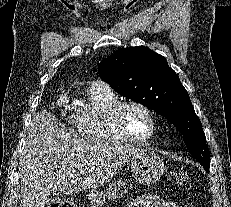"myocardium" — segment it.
<instances>
[{"instance_id":"obj_1","label":"myocardium","mask_w":231,"mask_h":207,"mask_svg":"<svg viewBox=\"0 0 231 207\" xmlns=\"http://www.w3.org/2000/svg\"><path fill=\"white\" fill-rule=\"evenodd\" d=\"M131 107L140 108L148 114L149 119L152 124V129H151V133L147 137H144V138L137 137L133 135L132 132L130 131L127 125V122H126V112ZM113 119H114L115 125L117 126L121 134H123L128 140L136 142V143H147L151 141L157 133L158 121H157L156 113L148 105L142 102H139V101L129 100V101L121 102L113 113Z\"/></svg>"}]
</instances>
